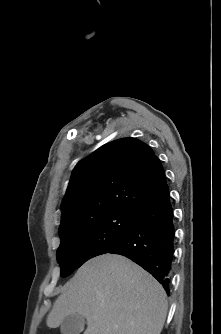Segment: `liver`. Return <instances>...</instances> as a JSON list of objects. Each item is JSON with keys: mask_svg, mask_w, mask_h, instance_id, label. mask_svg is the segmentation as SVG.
<instances>
[{"mask_svg": "<svg viewBox=\"0 0 221 334\" xmlns=\"http://www.w3.org/2000/svg\"><path fill=\"white\" fill-rule=\"evenodd\" d=\"M166 297L160 283L139 265L107 253L78 269L46 323L57 328L77 313L87 320L84 334H160L168 310Z\"/></svg>", "mask_w": 221, "mask_h": 334, "instance_id": "liver-1", "label": "liver"}]
</instances>
